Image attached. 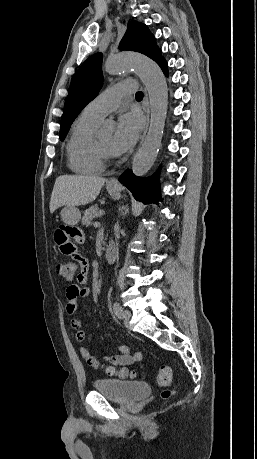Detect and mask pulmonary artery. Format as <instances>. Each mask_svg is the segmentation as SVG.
<instances>
[{"mask_svg":"<svg viewBox=\"0 0 257 459\" xmlns=\"http://www.w3.org/2000/svg\"><path fill=\"white\" fill-rule=\"evenodd\" d=\"M134 84L133 80H123L108 87L84 108L83 113L101 120L118 108L123 97L134 92Z\"/></svg>","mask_w":257,"mask_h":459,"instance_id":"e3ab8cb5","label":"pulmonary artery"}]
</instances>
